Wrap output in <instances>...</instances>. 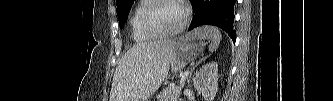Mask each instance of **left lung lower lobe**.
Returning a JSON list of instances; mask_svg holds the SVG:
<instances>
[{
	"mask_svg": "<svg viewBox=\"0 0 333 101\" xmlns=\"http://www.w3.org/2000/svg\"><path fill=\"white\" fill-rule=\"evenodd\" d=\"M193 3V21L189 30L201 25H214L226 31L233 42L236 32L233 29L234 5L236 0H191Z\"/></svg>",
	"mask_w": 333,
	"mask_h": 101,
	"instance_id": "1",
	"label": "left lung lower lobe"
}]
</instances>
